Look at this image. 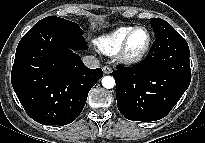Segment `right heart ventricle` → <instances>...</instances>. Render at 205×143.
<instances>
[{
  "instance_id": "right-heart-ventricle-1",
  "label": "right heart ventricle",
  "mask_w": 205,
  "mask_h": 143,
  "mask_svg": "<svg viewBox=\"0 0 205 143\" xmlns=\"http://www.w3.org/2000/svg\"><path fill=\"white\" fill-rule=\"evenodd\" d=\"M133 28V26H121L114 31L102 35L96 39V46L106 55H115L126 34Z\"/></svg>"
}]
</instances>
